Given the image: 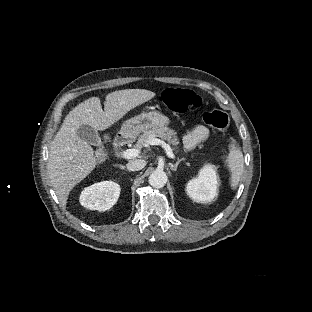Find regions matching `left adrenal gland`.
<instances>
[{
	"label": "left adrenal gland",
	"instance_id": "obj_1",
	"mask_svg": "<svg viewBox=\"0 0 312 312\" xmlns=\"http://www.w3.org/2000/svg\"><path fill=\"white\" fill-rule=\"evenodd\" d=\"M182 160H184V158L178 159L177 162H176L175 164H170V169H171L172 171H176V170H177V167H178V165H179V163H180Z\"/></svg>",
	"mask_w": 312,
	"mask_h": 312
}]
</instances>
